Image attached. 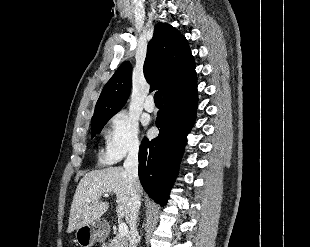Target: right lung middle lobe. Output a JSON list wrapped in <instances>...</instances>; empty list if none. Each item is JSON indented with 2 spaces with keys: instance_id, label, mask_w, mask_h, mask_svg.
Wrapping results in <instances>:
<instances>
[{
  "instance_id": "obj_1",
  "label": "right lung middle lobe",
  "mask_w": 310,
  "mask_h": 247,
  "mask_svg": "<svg viewBox=\"0 0 310 247\" xmlns=\"http://www.w3.org/2000/svg\"><path fill=\"white\" fill-rule=\"evenodd\" d=\"M110 117H104V118H100L94 122L91 123V128H92V132L91 135L92 137H94L97 133H100V131L102 130L103 126L107 123V121L111 118Z\"/></svg>"
}]
</instances>
